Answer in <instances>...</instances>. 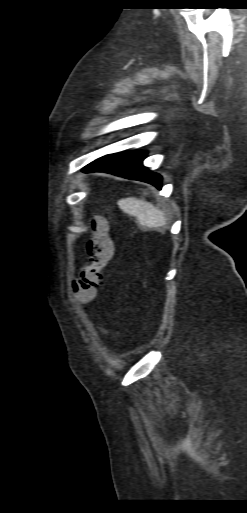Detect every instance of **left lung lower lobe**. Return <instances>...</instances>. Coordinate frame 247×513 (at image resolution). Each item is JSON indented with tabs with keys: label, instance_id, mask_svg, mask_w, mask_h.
<instances>
[{
	"label": "left lung lower lobe",
	"instance_id": "left-lung-lower-lobe-1",
	"mask_svg": "<svg viewBox=\"0 0 247 513\" xmlns=\"http://www.w3.org/2000/svg\"><path fill=\"white\" fill-rule=\"evenodd\" d=\"M143 151L103 156L83 168V172H107L128 179L150 183L161 189L162 177L143 166Z\"/></svg>",
	"mask_w": 247,
	"mask_h": 513
}]
</instances>
